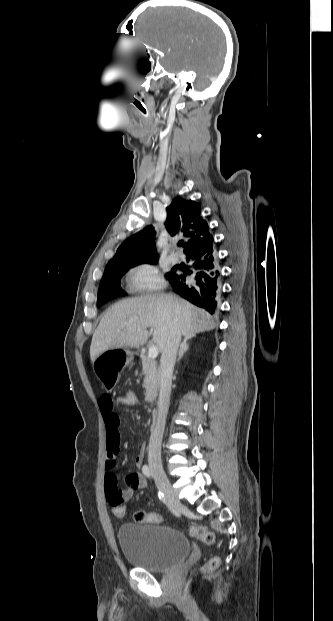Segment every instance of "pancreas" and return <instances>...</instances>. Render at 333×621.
Here are the masks:
<instances>
[{
	"instance_id": "pancreas-1",
	"label": "pancreas",
	"mask_w": 333,
	"mask_h": 621,
	"mask_svg": "<svg viewBox=\"0 0 333 621\" xmlns=\"http://www.w3.org/2000/svg\"><path fill=\"white\" fill-rule=\"evenodd\" d=\"M143 374L145 375L143 385L146 389L145 400L153 402L157 396L159 388V371L156 364L149 357L142 359Z\"/></svg>"
}]
</instances>
